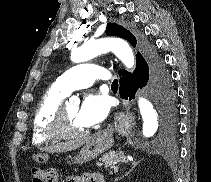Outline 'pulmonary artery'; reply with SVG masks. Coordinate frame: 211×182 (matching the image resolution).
Listing matches in <instances>:
<instances>
[{
    "label": "pulmonary artery",
    "mask_w": 211,
    "mask_h": 182,
    "mask_svg": "<svg viewBox=\"0 0 211 182\" xmlns=\"http://www.w3.org/2000/svg\"><path fill=\"white\" fill-rule=\"evenodd\" d=\"M111 75L108 70L91 63L76 65L59 76L54 86L69 95L73 90L91 86L96 80H109Z\"/></svg>",
    "instance_id": "e3ab8cb5"
}]
</instances>
